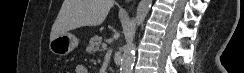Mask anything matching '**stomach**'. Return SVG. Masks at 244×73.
<instances>
[{"mask_svg": "<svg viewBox=\"0 0 244 73\" xmlns=\"http://www.w3.org/2000/svg\"><path fill=\"white\" fill-rule=\"evenodd\" d=\"M78 39L71 33H64L49 43L50 51L58 56L68 55L78 46Z\"/></svg>", "mask_w": 244, "mask_h": 73, "instance_id": "0dacf381", "label": "stomach"}]
</instances>
